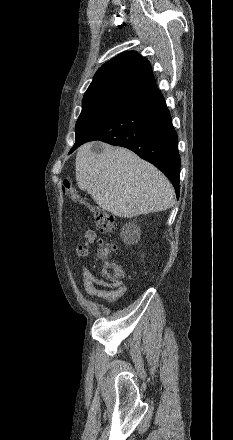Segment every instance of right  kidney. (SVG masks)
Returning a JSON list of instances; mask_svg holds the SVG:
<instances>
[{"instance_id":"obj_1","label":"right kidney","mask_w":233,"mask_h":440,"mask_svg":"<svg viewBox=\"0 0 233 440\" xmlns=\"http://www.w3.org/2000/svg\"><path fill=\"white\" fill-rule=\"evenodd\" d=\"M121 237L125 243H134L137 238V228L131 225L123 227Z\"/></svg>"}]
</instances>
